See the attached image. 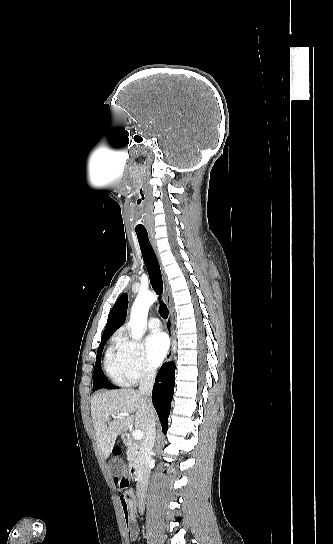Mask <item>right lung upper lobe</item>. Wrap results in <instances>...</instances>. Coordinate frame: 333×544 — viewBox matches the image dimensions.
I'll return each mask as SVG.
<instances>
[{
	"label": "right lung upper lobe",
	"instance_id": "cb5924a9",
	"mask_svg": "<svg viewBox=\"0 0 333 544\" xmlns=\"http://www.w3.org/2000/svg\"><path fill=\"white\" fill-rule=\"evenodd\" d=\"M127 306L128 296L127 293H124L118 298L112 307L101 339L109 338L116 329L124 324L127 314Z\"/></svg>",
	"mask_w": 333,
	"mask_h": 544
}]
</instances>
